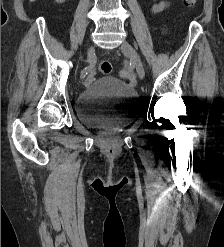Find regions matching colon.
Returning a JSON list of instances; mask_svg holds the SVG:
<instances>
[{
    "label": "colon",
    "instance_id": "colon-1",
    "mask_svg": "<svg viewBox=\"0 0 224 247\" xmlns=\"http://www.w3.org/2000/svg\"><path fill=\"white\" fill-rule=\"evenodd\" d=\"M185 3L188 6H193V5H195L196 0H185ZM98 68H99V71H100L101 74H109L111 72V70H112L111 63L109 61H107V60L101 61L99 63V67ZM121 75L124 78H127V79L130 77L129 73L126 72V71H123L121 73Z\"/></svg>",
    "mask_w": 224,
    "mask_h": 247
}]
</instances>
